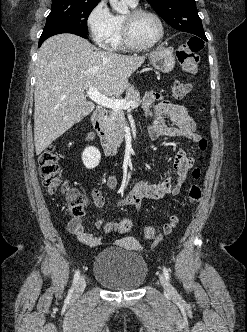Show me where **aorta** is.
I'll use <instances>...</instances> for the list:
<instances>
[{
	"instance_id": "obj_1",
	"label": "aorta",
	"mask_w": 247,
	"mask_h": 332,
	"mask_svg": "<svg viewBox=\"0 0 247 332\" xmlns=\"http://www.w3.org/2000/svg\"><path fill=\"white\" fill-rule=\"evenodd\" d=\"M112 9L120 14H126L128 12V6L119 0H109Z\"/></svg>"
}]
</instances>
